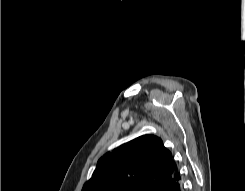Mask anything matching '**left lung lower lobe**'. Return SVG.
<instances>
[{"instance_id": "obj_1", "label": "left lung lower lobe", "mask_w": 245, "mask_h": 191, "mask_svg": "<svg viewBox=\"0 0 245 191\" xmlns=\"http://www.w3.org/2000/svg\"><path fill=\"white\" fill-rule=\"evenodd\" d=\"M157 191H182V178L178 167Z\"/></svg>"}]
</instances>
